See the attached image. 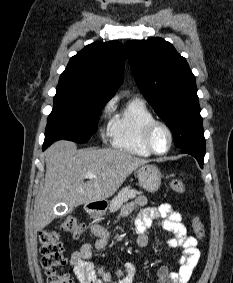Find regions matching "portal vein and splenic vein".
I'll return each instance as SVG.
<instances>
[{
  "label": "portal vein and splenic vein",
  "instance_id": "18ae733b",
  "mask_svg": "<svg viewBox=\"0 0 233 283\" xmlns=\"http://www.w3.org/2000/svg\"><path fill=\"white\" fill-rule=\"evenodd\" d=\"M85 177L92 179V178H95V174H94V173H87V174L85 175Z\"/></svg>",
  "mask_w": 233,
  "mask_h": 283
}]
</instances>
